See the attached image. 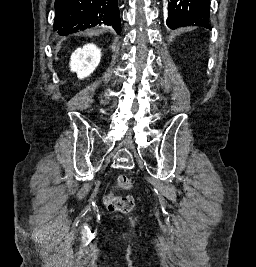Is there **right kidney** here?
Wrapping results in <instances>:
<instances>
[{
  "label": "right kidney",
  "mask_w": 256,
  "mask_h": 267,
  "mask_svg": "<svg viewBox=\"0 0 256 267\" xmlns=\"http://www.w3.org/2000/svg\"><path fill=\"white\" fill-rule=\"evenodd\" d=\"M101 60V52L95 44H86L83 48H77L70 60L71 72H76L77 78L83 80L93 74Z\"/></svg>",
  "instance_id": "obj_1"
}]
</instances>
